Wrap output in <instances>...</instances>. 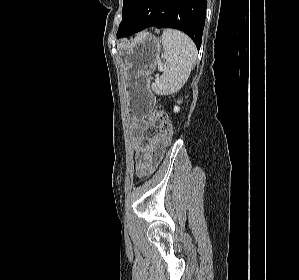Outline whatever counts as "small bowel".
Masks as SVG:
<instances>
[{
	"mask_svg": "<svg viewBox=\"0 0 299 280\" xmlns=\"http://www.w3.org/2000/svg\"><path fill=\"white\" fill-rule=\"evenodd\" d=\"M149 128V124L145 122L135 121L132 124L135 168L139 177L147 175L158 164L169 141L162 131L146 134Z\"/></svg>",
	"mask_w": 299,
	"mask_h": 280,
	"instance_id": "c3829d8e",
	"label": "small bowel"
}]
</instances>
